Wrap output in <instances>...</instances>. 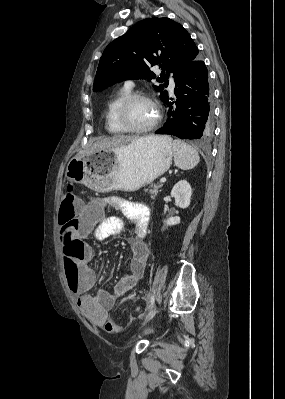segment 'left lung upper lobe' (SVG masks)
Masks as SVG:
<instances>
[{"label": "left lung upper lobe", "mask_w": 285, "mask_h": 399, "mask_svg": "<svg viewBox=\"0 0 285 399\" xmlns=\"http://www.w3.org/2000/svg\"><path fill=\"white\" fill-rule=\"evenodd\" d=\"M198 48L183 26L169 18L139 21L104 50L96 72L94 91L127 79H155L153 66L162 69L154 86L166 102L169 73L175 78L184 65L196 58ZM166 71V74L165 72Z\"/></svg>", "instance_id": "left-lung-upper-lobe-1"}]
</instances>
